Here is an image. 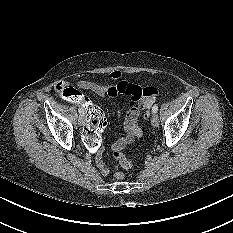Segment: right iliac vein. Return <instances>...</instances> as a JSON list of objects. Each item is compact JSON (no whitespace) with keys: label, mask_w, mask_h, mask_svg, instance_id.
Segmentation results:
<instances>
[{"label":"right iliac vein","mask_w":233,"mask_h":233,"mask_svg":"<svg viewBox=\"0 0 233 233\" xmlns=\"http://www.w3.org/2000/svg\"><path fill=\"white\" fill-rule=\"evenodd\" d=\"M86 122V118L84 115H80L79 119H78V123L79 125H84Z\"/></svg>","instance_id":"63e3f726"}]
</instances>
